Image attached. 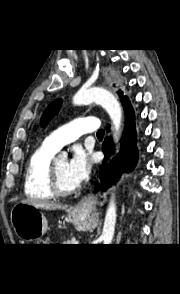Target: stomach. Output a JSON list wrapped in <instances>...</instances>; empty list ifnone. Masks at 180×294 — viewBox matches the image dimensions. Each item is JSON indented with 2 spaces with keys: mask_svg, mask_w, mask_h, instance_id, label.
<instances>
[{
  "mask_svg": "<svg viewBox=\"0 0 180 294\" xmlns=\"http://www.w3.org/2000/svg\"><path fill=\"white\" fill-rule=\"evenodd\" d=\"M70 221L81 230L96 226V220L88 210L69 209ZM11 223L16 235L23 241L33 242L47 231V219L37 208L28 203H16L11 210Z\"/></svg>",
  "mask_w": 180,
  "mask_h": 294,
  "instance_id": "stomach-1",
  "label": "stomach"
}]
</instances>
